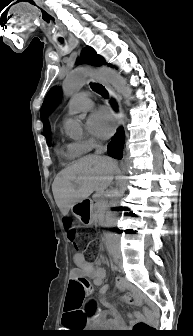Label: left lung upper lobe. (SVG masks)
Here are the masks:
<instances>
[{
    "label": "left lung upper lobe",
    "instance_id": "left-lung-upper-lobe-1",
    "mask_svg": "<svg viewBox=\"0 0 193 336\" xmlns=\"http://www.w3.org/2000/svg\"><path fill=\"white\" fill-rule=\"evenodd\" d=\"M82 57L85 62H88L95 66H100L106 63L105 60L101 56L96 54V52L91 47L84 48L82 52ZM59 95L60 93L57 88H53L48 92L41 108L42 119L45 114L49 113L52 109L55 108L59 101Z\"/></svg>",
    "mask_w": 193,
    "mask_h": 336
}]
</instances>
